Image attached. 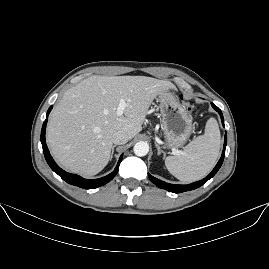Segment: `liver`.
<instances>
[{"mask_svg":"<svg viewBox=\"0 0 269 269\" xmlns=\"http://www.w3.org/2000/svg\"><path fill=\"white\" fill-rule=\"evenodd\" d=\"M170 88H175L170 81L146 76L82 80L64 93L49 119L46 140L52 155L69 172L98 174L109 162L112 135L122 130L132 139L154 98ZM120 99L127 107L117 116Z\"/></svg>","mask_w":269,"mask_h":269,"instance_id":"liver-1","label":"liver"}]
</instances>
